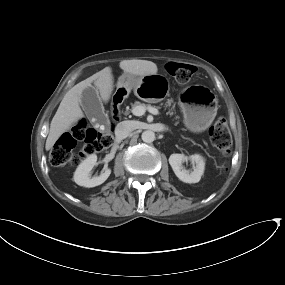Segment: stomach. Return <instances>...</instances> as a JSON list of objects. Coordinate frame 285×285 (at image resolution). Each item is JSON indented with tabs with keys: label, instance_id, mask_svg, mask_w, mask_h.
<instances>
[{
	"label": "stomach",
	"instance_id": "0dacf381",
	"mask_svg": "<svg viewBox=\"0 0 285 285\" xmlns=\"http://www.w3.org/2000/svg\"><path fill=\"white\" fill-rule=\"evenodd\" d=\"M166 82L160 74L146 75L135 78L130 73L122 74L117 83L118 89L135 94L146 102H155L158 99L149 94L150 90L158 88ZM179 105L184 116V124L192 132L198 133L206 130L216 115V99L206 87L195 85L185 88L179 96Z\"/></svg>",
	"mask_w": 285,
	"mask_h": 285
}]
</instances>
